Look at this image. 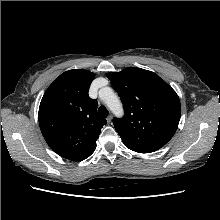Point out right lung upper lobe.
Wrapping results in <instances>:
<instances>
[{
    "label": "right lung upper lobe",
    "mask_w": 220,
    "mask_h": 220,
    "mask_svg": "<svg viewBox=\"0 0 220 220\" xmlns=\"http://www.w3.org/2000/svg\"><path fill=\"white\" fill-rule=\"evenodd\" d=\"M94 74L69 70L48 87L39 107V125L50 148L63 158L81 161L96 148L106 120L97 114L98 103L88 95Z\"/></svg>",
    "instance_id": "right-lung-upper-lobe-1"
}]
</instances>
